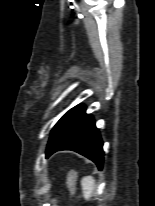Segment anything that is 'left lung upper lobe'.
<instances>
[{
  "label": "left lung upper lobe",
  "mask_w": 155,
  "mask_h": 206,
  "mask_svg": "<svg viewBox=\"0 0 155 206\" xmlns=\"http://www.w3.org/2000/svg\"><path fill=\"white\" fill-rule=\"evenodd\" d=\"M85 110L86 108L79 104L64 114L54 126L48 141L47 148L64 136L74 126V124L84 116Z\"/></svg>",
  "instance_id": "5c2ea615"
}]
</instances>
